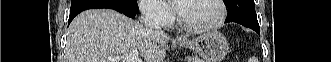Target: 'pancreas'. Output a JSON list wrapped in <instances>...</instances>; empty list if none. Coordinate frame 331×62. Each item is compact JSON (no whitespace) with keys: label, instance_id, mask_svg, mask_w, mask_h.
Instances as JSON below:
<instances>
[{"label":"pancreas","instance_id":"cf45deb5","mask_svg":"<svg viewBox=\"0 0 331 62\" xmlns=\"http://www.w3.org/2000/svg\"><path fill=\"white\" fill-rule=\"evenodd\" d=\"M187 59H188V62H203V60H201L198 57H194V56H188Z\"/></svg>","mask_w":331,"mask_h":62}]
</instances>
